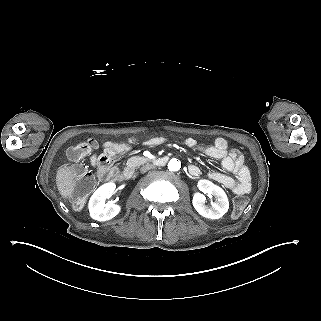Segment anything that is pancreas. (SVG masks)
<instances>
[{
  "mask_svg": "<svg viewBox=\"0 0 321 321\" xmlns=\"http://www.w3.org/2000/svg\"><path fill=\"white\" fill-rule=\"evenodd\" d=\"M149 161L148 158L140 157V156H134L128 159L127 164L129 166H139L144 163H147Z\"/></svg>",
  "mask_w": 321,
  "mask_h": 321,
  "instance_id": "pancreas-1",
  "label": "pancreas"
}]
</instances>
